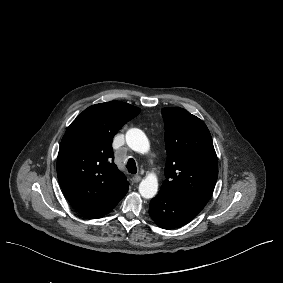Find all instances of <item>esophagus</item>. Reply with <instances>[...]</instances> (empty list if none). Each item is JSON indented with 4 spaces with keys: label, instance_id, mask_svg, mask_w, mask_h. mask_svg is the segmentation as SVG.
<instances>
[{
    "label": "esophagus",
    "instance_id": "1",
    "mask_svg": "<svg viewBox=\"0 0 283 283\" xmlns=\"http://www.w3.org/2000/svg\"><path fill=\"white\" fill-rule=\"evenodd\" d=\"M134 183H139L141 181V176L140 175H134L132 178Z\"/></svg>",
    "mask_w": 283,
    "mask_h": 283
}]
</instances>
